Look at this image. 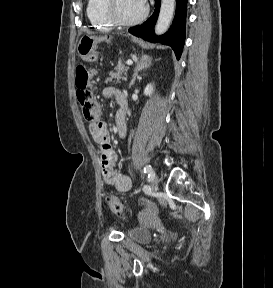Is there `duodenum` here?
<instances>
[{"label":"duodenum","mask_w":273,"mask_h":288,"mask_svg":"<svg viewBox=\"0 0 273 288\" xmlns=\"http://www.w3.org/2000/svg\"><path fill=\"white\" fill-rule=\"evenodd\" d=\"M120 109H121V112H120V119H125V114H126V109H127V100L125 97H122L120 99Z\"/></svg>","instance_id":"duodenum-1"}]
</instances>
